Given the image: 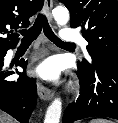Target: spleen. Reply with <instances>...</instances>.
Segmentation results:
<instances>
[{"instance_id":"1","label":"spleen","mask_w":118,"mask_h":123,"mask_svg":"<svg viewBox=\"0 0 118 123\" xmlns=\"http://www.w3.org/2000/svg\"><path fill=\"white\" fill-rule=\"evenodd\" d=\"M90 123H112V122L106 119L96 118V119H92Z\"/></svg>"}]
</instances>
